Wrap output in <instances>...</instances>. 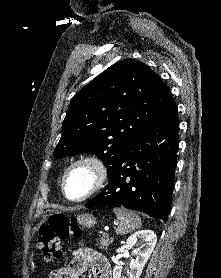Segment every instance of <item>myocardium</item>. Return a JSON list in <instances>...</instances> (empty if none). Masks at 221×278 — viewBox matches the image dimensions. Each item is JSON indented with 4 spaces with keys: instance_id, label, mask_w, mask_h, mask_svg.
I'll list each match as a JSON object with an SVG mask.
<instances>
[{
    "instance_id": "obj_1",
    "label": "myocardium",
    "mask_w": 221,
    "mask_h": 278,
    "mask_svg": "<svg viewBox=\"0 0 221 278\" xmlns=\"http://www.w3.org/2000/svg\"><path fill=\"white\" fill-rule=\"evenodd\" d=\"M79 166H88L93 170L94 173V179L91 184V187L89 190L82 196L77 197V198H71L68 196L66 193V182L69 173L75 169L76 167ZM108 168L106 164L98 157L93 156V155H86V156H81L74 161H72L64 170V173L62 175V180H61V190L66 199H68L71 202H83L93 195H95L98 191H100L104 185L106 184L108 180Z\"/></svg>"
}]
</instances>
